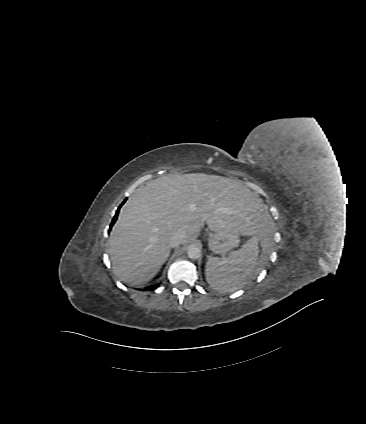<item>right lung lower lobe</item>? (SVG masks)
<instances>
[{
  "label": "right lung lower lobe",
  "mask_w": 366,
  "mask_h": 424,
  "mask_svg": "<svg viewBox=\"0 0 366 424\" xmlns=\"http://www.w3.org/2000/svg\"><path fill=\"white\" fill-rule=\"evenodd\" d=\"M125 202V201H124ZM123 202V203H124ZM122 203V204H123ZM122 205H120V207H121ZM120 207L118 208V211L120 210ZM118 211L116 212V215L114 216V218H113V220H112V223H111V225H110V228H112V226H113V224L115 223V221H116V219H117V216H118ZM157 288V286H150L149 288H145V289H148V290H154V289H156Z\"/></svg>",
  "instance_id": "right-lung-lower-lobe-1"
}]
</instances>
